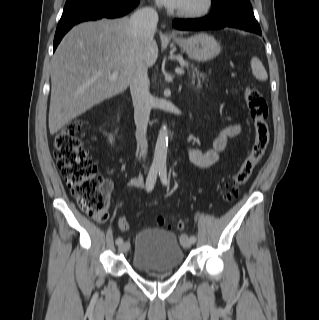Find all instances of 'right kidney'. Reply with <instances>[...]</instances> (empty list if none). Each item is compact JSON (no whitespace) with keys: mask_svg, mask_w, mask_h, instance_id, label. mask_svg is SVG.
<instances>
[{"mask_svg":"<svg viewBox=\"0 0 319 320\" xmlns=\"http://www.w3.org/2000/svg\"><path fill=\"white\" fill-rule=\"evenodd\" d=\"M109 140H110V142L112 143V141H113V138H112V136L110 137V139H109Z\"/></svg>","mask_w":319,"mask_h":320,"instance_id":"1","label":"right kidney"}]
</instances>
